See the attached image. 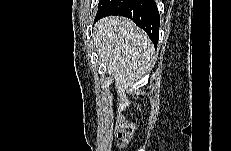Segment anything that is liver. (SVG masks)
<instances>
[{
	"label": "liver",
	"mask_w": 231,
	"mask_h": 151,
	"mask_svg": "<svg viewBox=\"0 0 231 151\" xmlns=\"http://www.w3.org/2000/svg\"><path fill=\"white\" fill-rule=\"evenodd\" d=\"M93 41L109 75L114 78L120 113L131 104L127 90L153 66V44L132 20L119 16L99 20L95 24Z\"/></svg>",
	"instance_id": "6515ba94"
}]
</instances>
